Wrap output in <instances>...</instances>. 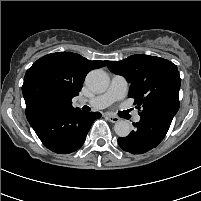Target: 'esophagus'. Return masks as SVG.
I'll use <instances>...</instances> for the list:
<instances>
[{
    "label": "esophagus",
    "instance_id": "esophagus-1",
    "mask_svg": "<svg viewBox=\"0 0 201 201\" xmlns=\"http://www.w3.org/2000/svg\"><path fill=\"white\" fill-rule=\"evenodd\" d=\"M106 118L112 123H117L118 121H120L119 117L112 115V114H107Z\"/></svg>",
    "mask_w": 201,
    "mask_h": 201
}]
</instances>
